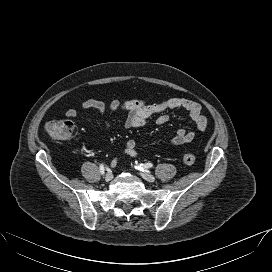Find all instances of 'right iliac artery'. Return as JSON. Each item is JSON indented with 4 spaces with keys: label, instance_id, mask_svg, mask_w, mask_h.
Masks as SVG:
<instances>
[{
    "label": "right iliac artery",
    "instance_id": "82829eb1",
    "mask_svg": "<svg viewBox=\"0 0 272 272\" xmlns=\"http://www.w3.org/2000/svg\"><path fill=\"white\" fill-rule=\"evenodd\" d=\"M104 171H105V167L103 164L100 165V172L101 174H104Z\"/></svg>",
    "mask_w": 272,
    "mask_h": 272
}]
</instances>
